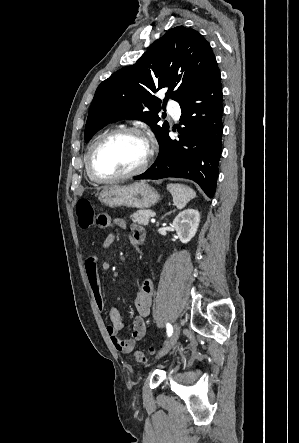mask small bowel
Segmentation results:
<instances>
[{
	"instance_id": "c3829d8e",
	"label": "small bowel",
	"mask_w": 299,
	"mask_h": 443,
	"mask_svg": "<svg viewBox=\"0 0 299 443\" xmlns=\"http://www.w3.org/2000/svg\"><path fill=\"white\" fill-rule=\"evenodd\" d=\"M97 226L100 228H109L117 226L119 228H125V222L120 218H113L108 214H100L97 217ZM132 233V242L134 244L141 243L145 238L144 228L138 224H132L130 226ZM116 236L114 233L108 234L104 242L102 243V250H107L115 241ZM111 265L106 260H100L96 256L89 257L85 262V270L87 275L88 284L90 290L94 296L97 307L100 311H103L106 305L105 298L102 294L101 282L99 271L110 270ZM154 292V279L147 278L136 292L134 298V305L136 308V316L133 321V330L129 338H121L119 332L123 329L124 323L120 315L119 310L115 306H111L108 309V317L110 324L107 325L106 331L110 336L111 342L114 348L120 353H130L136 343L142 339L145 334L146 326L144 318L148 317L151 311Z\"/></svg>"
}]
</instances>
